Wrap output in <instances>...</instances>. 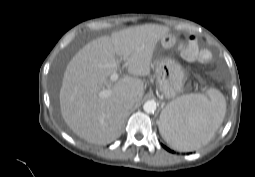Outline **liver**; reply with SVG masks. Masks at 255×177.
I'll list each match as a JSON object with an SVG mask.
<instances>
[{
    "label": "liver",
    "instance_id": "1",
    "mask_svg": "<svg viewBox=\"0 0 255 177\" xmlns=\"http://www.w3.org/2000/svg\"><path fill=\"white\" fill-rule=\"evenodd\" d=\"M168 32V27L157 24L130 27L97 38L78 51L67 65L59 93L62 117L75 134L97 145L120 136L128 114L125 101H141L144 85L138 77L150 74L156 45ZM116 55L125 57L132 76L112 83L109 76L120 68ZM104 87L111 94L101 98L98 94Z\"/></svg>",
    "mask_w": 255,
    "mask_h": 177
}]
</instances>
